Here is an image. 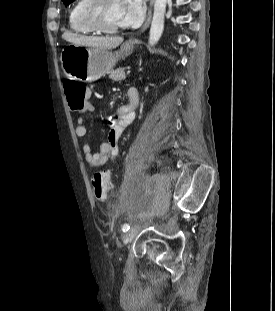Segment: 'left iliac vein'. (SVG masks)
<instances>
[{"mask_svg": "<svg viewBox=\"0 0 275 311\" xmlns=\"http://www.w3.org/2000/svg\"><path fill=\"white\" fill-rule=\"evenodd\" d=\"M138 233V229L137 228H133L130 229L129 231L125 232L122 236V241L123 244H128L129 242L132 241V239L137 235Z\"/></svg>", "mask_w": 275, "mask_h": 311, "instance_id": "4c4485c4", "label": "left iliac vein"}]
</instances>
